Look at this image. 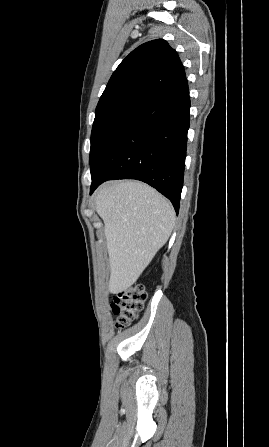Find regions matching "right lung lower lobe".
Listing matches in <instances>:
<instances>
[{
    "mask_svg": "<svg viewBox=\"0 0 269 447\" xmlns=\"http://www.w3.org/2000/svg\"><path fill=\"white\" fill-rule=\"evenodd\" d=\"M190 97L186 77L129 114L91 166L90 194L110 179H137L166 196L178 214Z\"/></svg>",
    "mask_w": 269,
    "mask_h": 447,
    "instance_id": "obj_1",
    "label": "right lung lower lobe"
}]
</instances>
